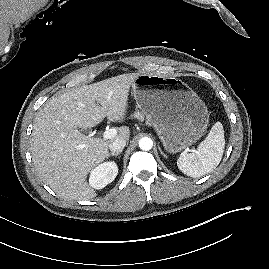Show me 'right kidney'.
<instances>
[{"instance_id": "right-kidney-1", "label": "right kidney", "mask_w": 269, "mask_h": 269, "mask_svg": "<svg viewBox=\"0 0 269 269\" xmlns=\"http://www.w3.org/2000/svg\"><path fill=\"white\" fill-rule=\"evenodd\" d=\"M117 173L118 167L114 161L104 162L91 171L89 184L94 189H102L116 178Z\"/></svg>"}]
</instances>
